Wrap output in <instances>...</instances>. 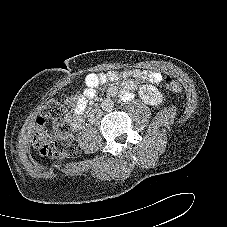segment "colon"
Segmentation results:
<instances>
[{"label": "colon", "instance_id": "obj_1", "mask_svg": "<svg viewBox=\"0 0 227 227\" xmlns=\"http://www.w3.org/2000/svg\"><path fill=\"white\" fill-rule=\"evenodd\" d=\"M163 85L168 92L173 94L181 90L180 84L172 77H165ZM69 100L73 101V98ZM64 114L65 109L57 99H50L42 106L33 136V146L40 154L51 157L78 155L79 145L69 126L62 120ZM45 120H52L51 128L44 126Z\"/></svg>", "mask_w": 227, "mask_h": 227}]
</instances>
